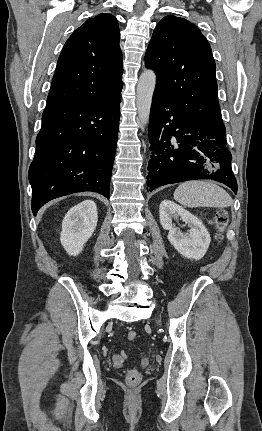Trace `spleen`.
I'll list each match as a JSON object with an SVG mask.
<instances>
[{
	"label": "spleen",
	"instance_id": "1",
	"mask_svg": "<svg viewBox=\"0 0 262 431\" xmlns=\"http://www.w3.org/2000/svg\"><path fill=\"white\" fill-rule=\"evenodd\" d=\"M174 199L185 207L225 208L233 204L231 196L218 185L207 181L181 183L174 192Z\"/></svg>",
	"mask_w": 262,
	"mask_h": 431
}]
</instances>
